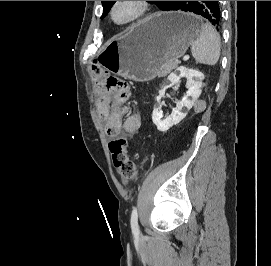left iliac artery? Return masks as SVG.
Listing matches in <instances>:
<instances>
[{
    "label": "left iliac artery",
    "mask_w": 271,
    "mask_h": 266,
    "mask_svg": "<svg viewBox=\"0 0 271 266\" xmlns=\"http://www.w3.org/2000/svg\"><path fill=\"white\" fill-rule=\"evenodd\" d=\"M130 223L132 232L138 234L139 233L138 212L136 207H134L132 210Z\"/></svg>",
    "instance_id": "obj_1"
}]
</instances>
